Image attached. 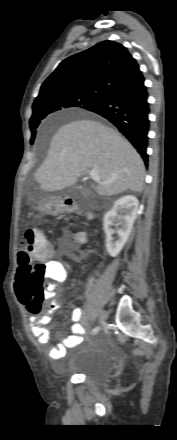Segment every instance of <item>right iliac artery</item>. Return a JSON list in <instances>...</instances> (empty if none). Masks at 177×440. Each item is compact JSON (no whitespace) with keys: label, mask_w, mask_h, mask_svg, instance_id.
<instances>
[{"label":"right iliac artery","mask_w":177,"mask_h":440,"mask_svg":"<svg viewBox=\"0 0 177 440\" xmlns=\"http://www.w3.org/2000/svg\"><path fill=\"white\" fill-rule=\"evenodd\" d=\"M98 331H99V327H95V328L92 330V335L96 334Z\"/></svg>","instance_id":"82829eb1"}]
</instances>
